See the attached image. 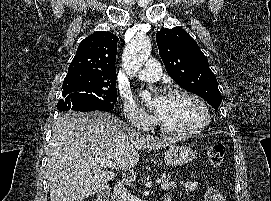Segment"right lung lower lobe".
Returning <instances> with one entry per match:
<instances>
[{"label": "right lung lower lobe", "mask_w": 271, "mask_h": 201, "mask_svg": "<svg viewBox=\"0 0 271 201\" xmlns=\"http://www.w3.org/2000/svg\"><path fill=\"white\" fill-rule=\"evenodd\" d=\"M115 103L111 102H89L84 101L80 98H64L57 103V109L59 111H68V110H75V111H111L114 108Z\"/></svg>", "instance_id": "right-lung-lower-lobe-1"}]
</instances>
